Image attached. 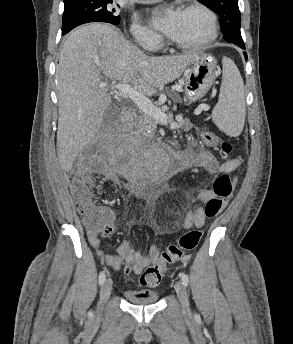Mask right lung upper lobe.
Here are the masks:
<instances>
[{
  "instance_id": "cb5924a9",
  "label": "right lung upper lobe",
  "mask_w": 293,
  "mask_h": 344,
  "mask_svg": "<svg viewBox=\"0 0 293 344\" xmlns=\"http://www.w3.org/2000/svg\"><path fill=\"white\" fill-rule=\"evenodd\" d=\"M74 1H77V0H64V3H70V2H74Z\"/></svg>"
}]
</instances>
